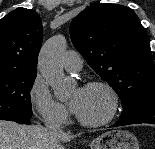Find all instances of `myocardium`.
Instances as JSON below:
<instances>
[{"instance_id":"obj_1","label":"myocardium","mask_w":155,"mask_h":149,"mask_svg":"<svg viewBox=\"0 0 155 149\" xmlns=\"http://www.w3.org/2000/svg\"><path fill=\"white\" fill-rule=\"evenodd\" d=\"M86 88L98 89L103 93H105V95L109 99V105H110L109 111H108V114L103 119L96 120V121H89V120L83 119L78 114H76V119L78 120V122L87 127H99L111 122L115 118L120 104L119 95L116 92V90L108 83L99 81V80L89 82L86 85Z\"/></svg>"}]
</instances>
